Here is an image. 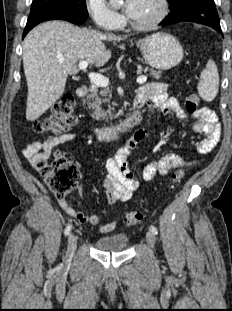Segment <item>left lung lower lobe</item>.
Instances as JSON below:
<instances>
[{"label":"left lung lower lobe","mask_w":232,"mask_h":311,"mask_svg":"<svg viewBox=\"0 0 232 311\" xmlns=\"http://www.w3.org/2000/svg\"><path fill=\"white\" fill-rule=\"evenodd\" d=\"M170 9L169 15L159 25L189 21L210 26L222 33L214 0H177Z\"/></svg>","instance_id":"1"}]
</instances>
